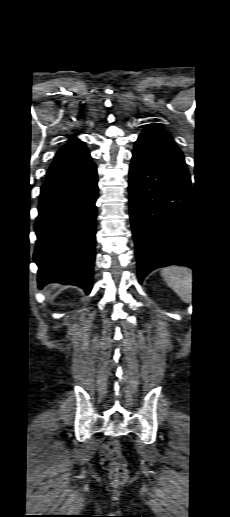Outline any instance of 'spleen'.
<instances>
[{
  "label": "spleen",
  "instance_id": "obj_1",
  "mask_svg": "<svg viewBox=\"0 0 230 517\" xmlns=\"http://www.w3.org/2000/svg\"><path fill=\"white\" fill-rule=\"evenodd\" d=\"M161 275L169 287L184 301L192 299V271L185 267L172 266L163 269Z\"/></svg>",
  "mask_w": 230,
  "mask_h": 517
}]
</instances>
